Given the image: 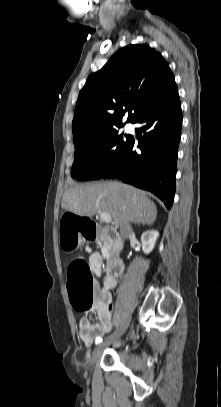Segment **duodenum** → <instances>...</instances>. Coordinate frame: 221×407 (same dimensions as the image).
I'll use <instances>...</instances> for the list:
<instances>
[{
  "instance_id": "1",
  "label": "duodenum",
  "mask_w": 221,
  "mask_h": 407,
  "mask_svg": "<svg viewBox=\"0 0 221 407\" xmlns=\"http://www.w3.org/2000/svg\"><path fill=\"white\" fill-rule=\"evenodd\" d=\"M107 236L114 243V251L107 261V271L111 276H119L124 270V263L121 259L119 252L122 248V240L112 228L106 227Z\"/></svg>"
}]
</instances>
